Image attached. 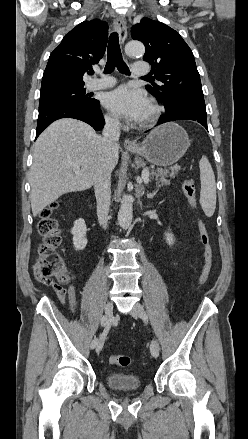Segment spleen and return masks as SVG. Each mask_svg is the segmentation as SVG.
<instances>
[{
	"mask_svg": "<svg viewBox=\"0 0 248 439\" xmlns=\"http://www.w3.org/2000/svg\"><path fill=\"white\" fill-rule=\"evenodd\" d=\"M200 168V204L207 216H212L216 208V183L211 164L206 156L199 161Z\"/></svg>",
	"mask_w": 248,
	"mask_h": 439,
	"instance_id": "3e777b00",
	"label": "spleen"
}]
</instances>
